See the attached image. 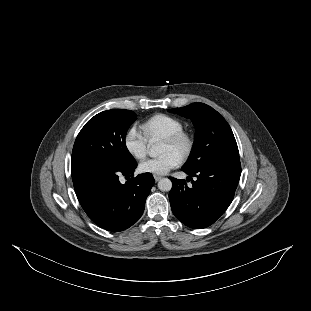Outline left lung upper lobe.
<instances>
[{"instance_id": "1", "label": "left lung upper lobe", "mask_w": 311, "mask_h": 311, "mask_svg": "<svg viewBox=\"0 0 311 311\" xmlns=\"http://www.w3.org/2000/svg\"><path fill=\"white\" fill-rule=\"evenodd\" d=\"M168 111L190 118L196 128L193 149L183 169L194 171L219 161L239 160L230 126L212 107L197 102Z\"/></svg>"}]
</instances>
